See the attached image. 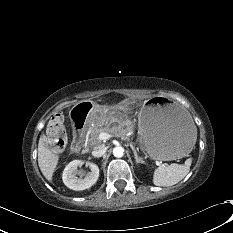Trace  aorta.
<instances>
[{
  "mask_svg": "<svg viewBox=\"0 0 233 233\" xmlns=\"http://www.w3.org/2000/svg\"><path fill=\"white\" fill-rule=\"evenodd\" d=\"M113 155L117 158H120L124 155V148L121 147V146H116L114 149H113Z\"/></svg>",
  "mask_w": 233,
  "mask_h": 233,
  "instance_id": "762f6f07",
  "label": "aorta"
}]
</instances>
